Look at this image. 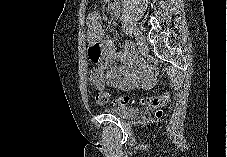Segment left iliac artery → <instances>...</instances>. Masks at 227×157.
<instances>
[{"label": "left iliac artery", "mask_w": 227, "mask_h": 157, "mask_svg": "<svg viewBox=\"0 0 227 157\" xmlns=\"http://www.w3.org/2000/svg\"><path fill=\"white\" fill-rule=\"evenodd\" d=\"M128 31L130 32V34L132 35V37H138L137 32L135 31V29H133V26H128Z\"/></svg>", "instance_id": "44dca946"}]
</instances>
